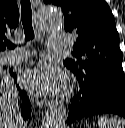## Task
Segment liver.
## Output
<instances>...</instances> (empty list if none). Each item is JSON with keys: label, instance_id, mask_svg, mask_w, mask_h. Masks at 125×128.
I'll return each instance as SVG.
<instances>
[{"label": "liver", "instance_id": "6515ba94", "mask_svg": "<svg viewBox=\"0 0 125 128\" xmlns=\"http://www.w3.org/2000/svg\"><path fill=\"white\" fill-rule=\"evenodd\" d=\"M18 94L13 79L0 69V128H22Z\"/></svg>", "mask_w": 125, "mask_h": 128}]
</instances>
